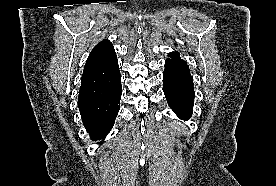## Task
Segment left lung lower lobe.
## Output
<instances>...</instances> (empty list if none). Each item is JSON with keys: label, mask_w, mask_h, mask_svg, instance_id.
Wrapping results in <instances>:
<instances>
[{"label": "left lung lower lobe", "mask_w": 276, "mask_h": 186, "mask_svg": "<svg viewBox=\"0 0 276 186\" xmlns=\"http://www.w3.org/2000/svg\"><path fill=\"white\" fill-rule=\"evenodd\" d=\"M163 90L168 105L183 120L192 115L194 104L193 79L187 63L167 59L163 73Z\"/></svg>", "instance_id": "left-lung-lower-lobe-1"}]
</instances>
